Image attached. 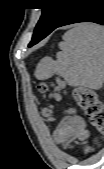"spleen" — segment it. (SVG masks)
I'll use <instances>...</instances> for the list:
<instances>
[{"label":"spleen","mask_w":104,"mask_h":169,"mask_svg":"<svg viewBox=\"0 0 104 169\" xmlns=\"http://www.w3.org/2000/svg\"><path fill=\"white\" fill-rule=\"evenodd\" d=\"M57 60L46 57L36 68V77L45 80L54 74L70 86L98 90L104 81V28L80 24L63 35Z\"/></svg>","instance_id":"3e777b00"}]
</instances>
